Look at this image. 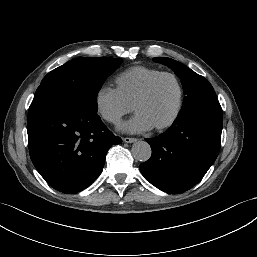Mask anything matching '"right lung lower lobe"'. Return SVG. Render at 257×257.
Returning <instances> with one entry per match:
<instances>
[{"label":"right lung lower lobe","mask_w":257,"mask_h":257,"mask_svg":"<svg viewBox=\"0 0 257 257\" xmlns=\"http://www.w3.org/2000/svg\"><path fill=\"white\" fill-rule=\"evenodd\" d=\"M27 132L35 168L68 194L87 188L101 174L109 148L122 142L97 113L70 104L30 107Z\"/></svg>","instance_id":"right-lung-lower-lobe-1"}]
</instances>
